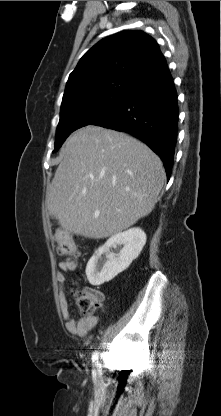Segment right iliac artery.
I'll return each mask as SVG.
<instances>
[{
    "label": "right iliac artery",
    "instance_id": "right-iliac-artery-1",
    "mask_svg": "<svg viewBox=\"0 0 221 416\" xmlns=\"http://www.w3.org/2000/svg\"><path fill=\"white\" fill-rule=\"evenodd\" d=\"M91 359H92V363L94 365H99V362H98V351L97 350L93 353Z\"/></svg>",
    "mask_w": 221,
    "mask_h": 416
}]
</instances>
